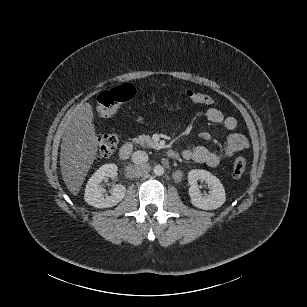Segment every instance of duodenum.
Returning <instances> with one entry per match:
<instances>
[{
    "label": "duodenum",
    "instance_id": "410a0bca",
    "mask_svg": "<svg viewBox=\"0 0 307 307\" xmlns=\"http://www.w3.org/2000/svg\"><path fill=\"white\" fill-rule=\"evenodd\" d=\"M133 151V144L130 142L124 143L119 150V156L122 160H127ZM168 157L172 159H176L178 157L177 151L170 149L167 151Z\"/></svg>",
    "mask_w": 307,
    "mask_h": 307
}]
</instances>
